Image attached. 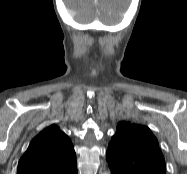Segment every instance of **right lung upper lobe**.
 <instances>
[{"label":"right lung upper lobe","instance_id":"right-lung-upper-lobe-1","mask_svg":"<svg viewBox=\"0 0 187 174\" xmlns=\"http://www.w3.org/2000/svg\"><path fill=\"white\" fill-rule=\"evenodd\" d=\"M17 174H77L76 155L69 137L56 125L43 130L21 157Z\"/></svg>","mask_w":187,"mask_h":174}]
</instances>
